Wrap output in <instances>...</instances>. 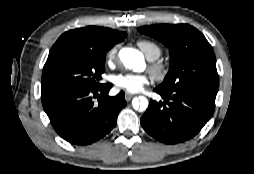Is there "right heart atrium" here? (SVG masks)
Segmentation results:
<instances>
[{"label":"right heart atrium","instance_id":"1","mask_svg":"<svg viewBox=\"0 0 254 174\" xmlns=\"http://www.w3.org/2000/svg\"><path fill=\"white\" fill-rule=\"evenodd\" d=\"M117 51H118V46L115 45L113 47H111L107 52H106V63L108 65H111L115 59H116V55H117Z\"/></svg>","mask_w":254,"mask_h":174}]
</instances>
